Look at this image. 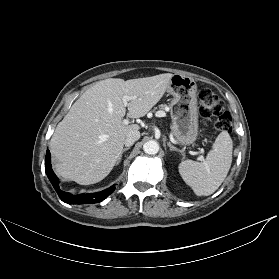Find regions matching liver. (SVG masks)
Masks as SVG:
<instances>
[{
	"label": "liver",
	"mask_w": 279,
	"mask_h": 279,
	"mask_svg": "<svg viewBox=\"0 0 279 279\" xmlns=\"http://www.w3.org/2000/svg\"><path fill=\"white\" fill-rule=\"evenodd\" d=\"M173 74L130 79L109 78L86 90L57 125L50 140L61 177L90 185L103 180L117 163L126 136L139 125H126L123 117L128 101L130 118L145 116L163 97Z\"/></svg>",
	"instance_id": "liver-1"
}]
</instances>
